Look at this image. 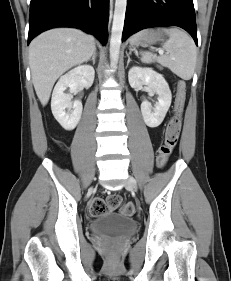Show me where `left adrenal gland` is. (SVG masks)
<instances>
[{"instance_id": "obj_1", "label": "left adrenal gland", "mask_w": 231, "mask_h": 281, "mask_svg": "<svg viewBox=\"0 0 231 281\" xmlns=\"http://www.w3.org/2000/svg\"><path fill=\"white\" fill-rule=\"evenodd\" d=\"M126 55H127V57H128V60H127V67H128V65H129V63H130V61H131V59H130V54H129V53H126Z\"/></svg>"}]
</instances>
